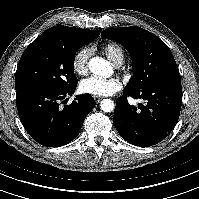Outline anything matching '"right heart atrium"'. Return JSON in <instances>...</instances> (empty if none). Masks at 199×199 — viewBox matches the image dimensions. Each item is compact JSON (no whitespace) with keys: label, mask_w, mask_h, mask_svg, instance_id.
<instances>
[{"label":"right heart atrium","mask_w":199,"mask_h":199,"mask_svg":"<svg viewBox=\"0 0 199 199\" xmlns=\"http://www.w3.org/2000/svg\"><path fill=\"white\" fill-rule=\"evenodd\" d=\"M90 55L91 50L89 48H81L74 54L71 66L76 75L82 76L87 73Z\"/></svg>","instance_id":"obj_1"}]
</instances>
